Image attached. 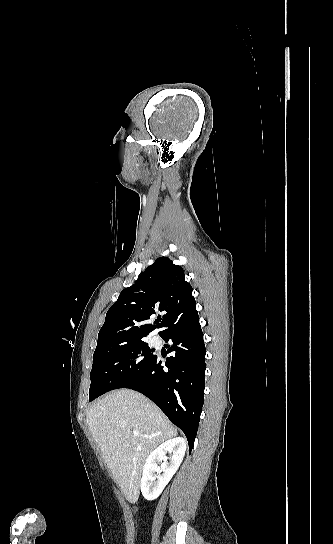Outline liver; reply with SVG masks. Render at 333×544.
Instances as JSON below:
<instances>
[{
	"label": "liver",
	"mask_w": 333,
	"mask_h": 544,
	"mask_svg": "<svg viewBox=\"0 0 333 544\" xmlns=\"http://www.w3.org/2000/svg\"><path fill=\"white\" fill-rule=\"evenodd\" d=\"M86 418L114 481L129 502H136L146 458L160 443L175 437L177 429L155 404L128 389L102 397ZM134 430L139 436L133 435Z\"/></svg>",
	"instance_id": "1"
}]
</instances>
